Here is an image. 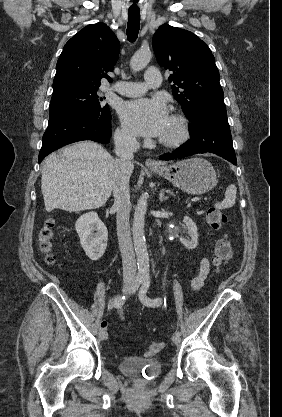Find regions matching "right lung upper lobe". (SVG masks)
<instances>
[{"label":"right lung upper lobe","instance_id":"obj_1","mask_svg":"<svg viewBox=\"0 0 282 417\" xmlns=\"http://www.w3.org/2000/svg\"><path fill=\"white\" fill-rule=\"evenodd\" d=\"M120 43L106 24L99 22L84 27L64 46L57 61L53 93L79 88H98L101 79H112Z\"/></svg>","mask_w":282,"mask_h":417}]
</instances>
